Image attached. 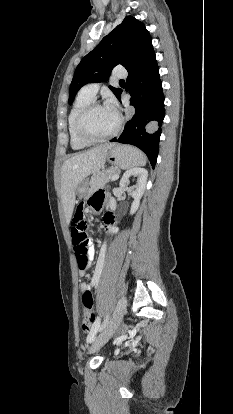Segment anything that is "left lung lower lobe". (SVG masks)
<instances>
[{"instance_id":"obj_1","label":"left lung lower lobe","mask_w":233,"mask_h":414,"mask_svg":"<svg viewBox=\"0 0 233 414\" xmlns=\"http://www.w3.org/2000/svg\"><path fill=\"white\" fill-rule=\"evenodd\" d=\"M126 91L131 95L130 105L135 108V114L126 123L122 134L111 142L138 147L147 155L154 168L161 135V128L157 126H161L165 116L164 95L155 53L138 68L128 72ZM118 99L120 100V95Z\"/></svg>"}]
</instances>
